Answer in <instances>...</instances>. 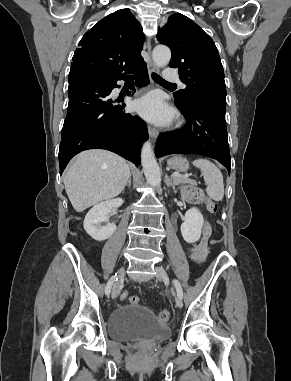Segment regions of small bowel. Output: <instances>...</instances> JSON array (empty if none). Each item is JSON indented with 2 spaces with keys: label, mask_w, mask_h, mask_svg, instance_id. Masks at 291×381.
<instances>
[{
  "label": "small bowel",
  "mask_w": 291,
  "mask_h": 381,
  "mask_svg": "<svg viewBox=\"0 0 291 381\" xmlns=\"http://www.w3.org/2000/svg\"><path fill=\"white\" fill-rule=\"evenodd\" d=\"M210 234L211 228L210 225L206 222L203 225L201 240L189 248V253L193 260L201 262L204 259L207 249V240Z\"/></svg>",
  "instance_id": "1"
}]
</instances>
